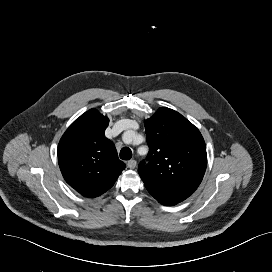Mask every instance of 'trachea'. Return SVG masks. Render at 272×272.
I'll use <instances>...</instances> for the list:
<instances>
[{
  "label": "trachea",
  "mask_w": 272,
  "mask_h": 272,
  "mask_svg": "<svg viewBox=\"0 0 272 272\" xmlns=\"http://www.w3.org/2000/svg\"><path fill=\"white\" fill-rule=\"evenodd\" d=\"M120 158L122 160H130L132 158V151L128 147H124L120 151Z\"/></svg>",
  "instance_id": "trachea-1"
}]
</instances>
